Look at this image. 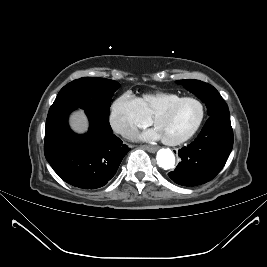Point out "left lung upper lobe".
I'll return each instance as SVG.
<instances>
[{
  "label": "left lung upper lobe",
  "instance_id": "5c2ea615",
  "mask_svg": "<svg viewBox=\"0 0 267 267\" xmlns=\"http://www.w3.org/2000/svg\"><path fill=\"white\" fill-rule=\"evenodd\" d=\"M176 83L182 84L204 102L209 116L229 114L227 104L213 86L199 80H179Z\"/></svg>",
  "mask_w": 267,
  "mask_h": 267
}]
</instances>
